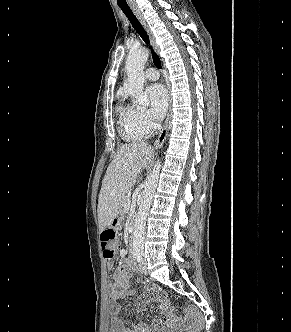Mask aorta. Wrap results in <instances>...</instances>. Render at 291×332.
<instances>
[{"instance_id":"aorta-1","label":"aorta","mask_w":291,"mask_h":332,"mask_svg":"<svg viewBox=\"0 0 291 332\" xmlns=\"http://www.w3.org/2000/svg\"><path fill=\"white\" fill-rule=\"evenodd\" d=\"M149 57V51L145 48L131 50L128 54L125 69L127 72L126 93L132 101L140 105H148V97L144 94V66ZM161 169V161L158 159L144 182V190L138 213L135 219L133 253L142 255L144 248V233L146 219L158 184Z\"/></svg>"}]
</instances>
